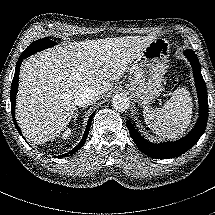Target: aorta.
I'll list each match as a JSON object with an SVG mask.
<instances>
[{"label": "aorta", "instance_id": "762f6f07", "mask_svg": "<svg viewBox=\"0 0 215 215\" xmlns=\"http://www.w3.org/2000/svg\"><path fill=\"white\" fill-rule=\"evenodd\" d=\"M112 106L117 111H125L130 106V99L126 95L116 94L112 98Z\"/></svg>", "mask_w": 215, "mask_h": 215}]
</instances>
